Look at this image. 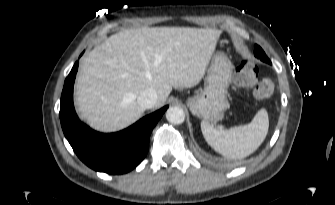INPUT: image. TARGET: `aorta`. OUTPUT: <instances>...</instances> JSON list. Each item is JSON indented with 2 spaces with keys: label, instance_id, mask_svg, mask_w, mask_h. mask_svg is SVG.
I'll return each instance as SVG.
<instances>
[{
  "label": "aorta",
  "instance_id": "obj_1",
  "mask_svg": "<svg viewBox=\"0 0 335 205\" xmlns=\"http://www.w3.org/2000/svg\"><path fill=\"white\" fill-rule=\"evenodd\" d=\"M166 119L168 122L178 125L184 122L185 113L180 107L173 106L166 111Z\"/></svg>",
  "mask_w": 335,
  "mask_h": 205
}]
</instances>
